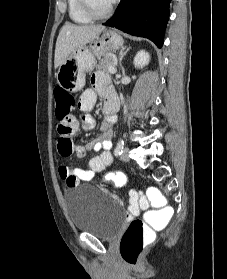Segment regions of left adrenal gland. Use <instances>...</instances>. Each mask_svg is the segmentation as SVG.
I'll list each match as a JSON object with an SVG mask.
<instances>
[{
  "label": "left adrenal gland",
  "mask_w": 227,
  "mask_h": 279,
  "mask_svg": "<svg viewBox=\"0 0 227 279\" xmlns=\"http://www.w3.org/2000/svg\"><path fill=\"white\" fill-rule=\"evenodd\" d=\"M130 50V47L126 49V47L122 48L119 52V65L121 67V70H122V75L124 76L125 75V69L124 67L122 66V59L123 57L126 55V53Z\"/></svg>",
  "instance_id": "1"
}]
</instances>
